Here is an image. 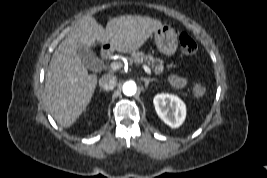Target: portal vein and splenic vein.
Returning a JSON list of instances; mask_svg holds the SVG:
<instances>
[{
  "instance_id": "18ae733b",
  "label": "portal vein and splenic vein",
  "mask_w": 267,
  "mask_h": 178,
  "mask_svg": "<svg viewBox=\"0 0 267 178\" xmlns=\"http://www.w3.org/2000/svg\"><path fill=\"white\" fill-rule=\"evenodd\" d=\"M142 67H143V69L145 70V72H146L147 74L151 75L152 72H151L150 68H149L147 65H142ZM110 68H111L112 70H118L119 68H121V64L118 63V62H112V63L110 64Z\"/></svg>"
}]
</instances>
